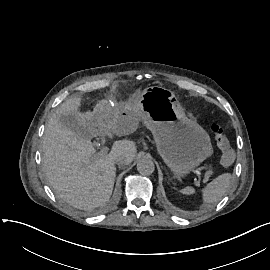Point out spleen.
<instances>
[{
  "label": "spleen",
  "instance_id": "1",
  "mask_svg": "<svg viewBox=\"0 0 270 270\" xmlns=\"http://www.w3.org/2000/svg\"><path fill=\"white\" fill-rule=\"evenodd\" d=\"M232 174L224 172L211 182L207 183L202 189V202L213 203L221 200V198L227 193ZM181 194L189 196L195 193L194 187L187 186L180 191Z\"/></svg>",
  "mask_w": 270,
  "mask_h": 270
}]
</instances>
